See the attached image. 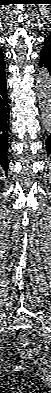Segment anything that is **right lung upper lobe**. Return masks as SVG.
Returning <instances> with one entry per match:
<instances>
[{
    "label": "right lung upper lobe",
    "instance_id": "1",
    "mask_svg": "<svg viewBox=\"0 0 51 393\" xmlns=\"http://www.w3.org/2000/svg\"><path fill=\"white\" fill-rule=\"evenodd\" d=\"M5 69V63H4V54L2 53V50L0 49V72Z\"/></svg>",
    "mask_w": 51,
    "mask_h": 393
}]
</instances>
